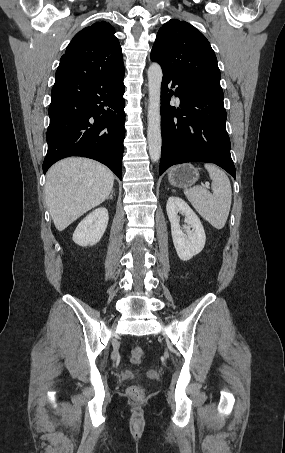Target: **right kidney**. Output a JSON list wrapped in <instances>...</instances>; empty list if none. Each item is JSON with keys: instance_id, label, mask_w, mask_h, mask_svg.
Here are the masks:
<instances>
[{"instance_id": "1", "label": "right kidney", "mask_w": 285, "mask_h": 453, "mask_svg": "<svg viewBox=\"0 0 285 453\" xmlns=\"http://www.w3.org/2000/svg\"><path fill=\"white\" fill-rule=\"evenodd\" d=\"M109 216L104 207L88 214L73 233V241L80 246H93L102 238L107 228Z\"/></svg>"}]
</instances>
